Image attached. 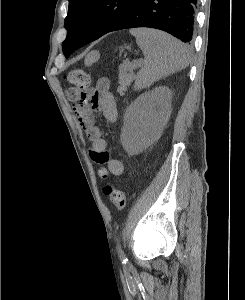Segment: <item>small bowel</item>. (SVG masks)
I'll use <instances>...</instances> for the list:
<instances>
[{"instance_id": "small-bowel-1", "label": "small bowel", "mask_w": 245, "mask_h": 300, "mask_svg": "<svg viewBox=\"0 0 245 300\" xmlns=\"http://www.w3.org/2000/svg\"><path fill=\"white\" fill-rule=\"evenodd\" d=\"M73 110L91 143V159L106 165V168H103L102 165L96 166L99 179H108L109 174L116 177L121 176L124 173V165L107 152V142L103 137L101 128L96 123L95 117V114L98 113L110 123H115L118 119V109L110 91L109 80L101 78L93 88L84 91L80 98L74 102Z\"/></svg>"}]
</instances>
